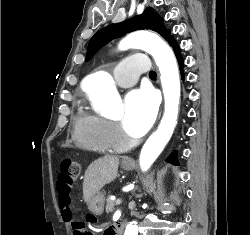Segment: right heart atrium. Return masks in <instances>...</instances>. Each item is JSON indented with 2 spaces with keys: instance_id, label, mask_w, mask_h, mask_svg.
I'll list each match as a JSON object with an SVG mask.
<instances>
[{
  "instance_id": "1",
  "label": "right heart atrium",
  "mask_w": 250,
  "mask_h": 235,
  "mask_svg": "<svg viewBox=\"0 0 250 235\" xmlns=\"http://www.w3.org/2000/svg\"><path fill=\"white\" fill-rule=\"evenodd\" d=\"M108 136L110 140L117 145L123 146L127 142L126 137L119 127L113 123H108Z\"/></svg>"
}]
</instances>
